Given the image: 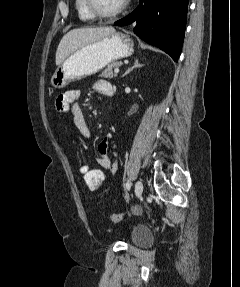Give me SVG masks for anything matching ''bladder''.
Masks as SVG:
<instances>
[{
    "instance_id": "obj_1",
    "label": "bladder",
    "mask_w": 240,
    "mask_h": 287,
    "mask_svg": "<svg viewBox=\"0 0 240 287\" xmlns=\"http://www.w3.org/2000/svg\"><path fill=\"white\" fill-rule=\"evenodd\" d=\"M152 241V232L145 226L135 225L131 230V243L133 245H148Z\"/></svg>"
}]
</instances>
